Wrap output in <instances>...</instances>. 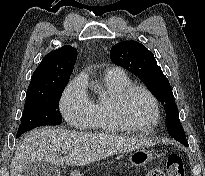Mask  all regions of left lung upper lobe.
Instances as JSON below:
<instances>
[{
	"instance_id": "left-lung-upper-lobe-1",
	"label": "left lung upper lobe",
	"mask_w": 205,
	"mask_h": 176,
	"mask_svg": "<svg viewBox=\"0 0 205 176\" xmlns=\"http://www.w3.org/2000/svg\"><path fill=\"white\" fill-rule=\"evenodd\" d=\"M110 58L114 64L138 76L164 104L169 135L188 146L170 83L158 66L153 53L136 41H122L111 48Z\"/></svg>"
}]
</instances>
